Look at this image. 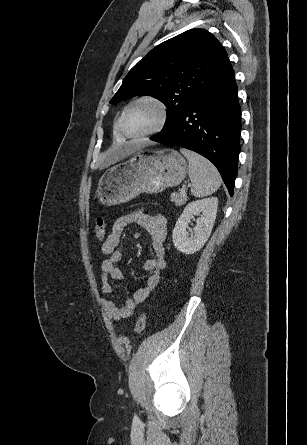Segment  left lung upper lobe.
I'll return each instance as SVG.
<instances>
[{
    "label": "left lung upper lobe",
    "instance_id": "obj_1",
    "mask_svg": "<svg viewBox=\"0 0 307 445\" xmlns=\"http://www.w3.org/2000/svg\"><path fill=\"white\" fill-rule=\"evenodd\" d=\"M221 43L204 29H191L152 49L124 78L110 103L150 95L167 107L162 131L230 70Z\"/></svg>",
    "mask_w": 307,
    "mask_h": 445
}]
</instances>
